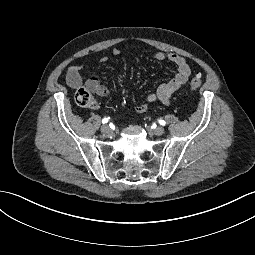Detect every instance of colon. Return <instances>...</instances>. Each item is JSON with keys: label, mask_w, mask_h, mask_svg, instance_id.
Returning <instances> with one entry per match:
<instances>
[{"label": "colon", "mask_w": 255, "mask_h": 255, "mask_svg": "<svg viewBox=\"0 0 255 255\" xmlns=\"http://www.w3.org/2000/svg\"><path fill=\"white\" fill-rule=\"evenodd\" d=\"M202 85V79L198 76L190 80V88L192 90L198 89ZM74 99L76 103L85 108H91L95 105V98L92 91L87 87H79L74 92Z\"/></svg>", "instance_id": "colon-1"}]
</instances>
